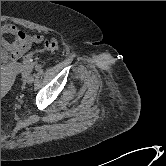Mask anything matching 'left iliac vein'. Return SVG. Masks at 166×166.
<instances>
[{
	"label": "left iliac vein",
	"instance_id": "4c4485c4",
	"mask_svg": "<svg viewBox=\"0 0 166 166\" xmlns=\"http://www.w3.org/2000/svg\"><path fill=\"white\" fill-rule=\"evenodd\" d=\"M26 83L27 84H32L34 82V76L33 75H29L27 78H26Z\"/></svg>",
	"mask_w": 166,
	"mask_h": 166
}]
</instances>
